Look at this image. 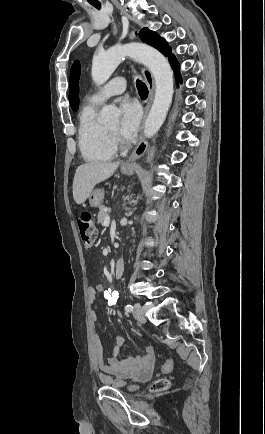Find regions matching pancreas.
Here are the masks:
<instances>
[{
	"label": "pancreas",
	"mask_w": 265,
	"mask_h": 434,
	"mask_svg": "<svg viewBox=\"0 0 265 434\" xmlns=\"http://www.w3.org/2000/svg\"><path fill=\"white\" fill-rule=\"evenodd\" d=\"M107 210V212H106ZM109 208H105V206H99L98 212V222L97 224H104V220H106L108 216Z\"/></svg>",
	"instance_id": "1"
}]
</instances>
